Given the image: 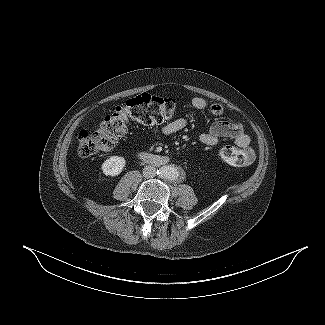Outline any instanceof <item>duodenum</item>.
I'll list each match as a JSON object with an SVG mask.
<instances>
[{
    "label": "duodenum",
    "mask_w": 325,
    "mask_h": 325,
    "mask_svg": "<svg viewBox=\"0 0 325 325\" xmlns=\"http://www.w3.org/2000/svg\"><path fill=\"white\" fill-rule=\"evenodd\" d=\"M138 156L153 166H162L170 162V158L164 155L154 154L146 151H139Z\"/></svg>",
    "instance_id": "obj_1"
}]
</instances>
